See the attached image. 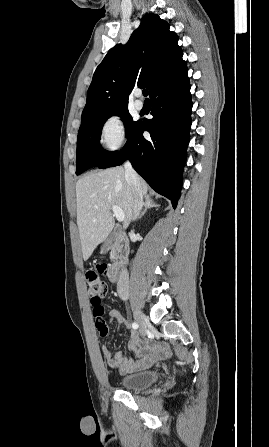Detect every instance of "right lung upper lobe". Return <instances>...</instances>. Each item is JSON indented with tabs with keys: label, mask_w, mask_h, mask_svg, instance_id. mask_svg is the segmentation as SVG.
Segmentation results:
<instances>
[{
	"label": "right lung upper lobe",
	"mask_w": 269,
	"mask_h": 447,
	"mask_svg": "<svg viewBox=\"0 0 269 447\" xmlns=\"http://www.w3.org/2000/svg\"><path fill=\"white\" fill-rule=\"evenodd\" d=\"M178 36L166 21L147 14L126 45L109 50L96 68L87 92L81 127L102 115L128 108L133 88L147 87L150 93L185 64Z\"/></svg>",
	"instance_id": "right-lung-upper-lobe-1"
}]
</instances>
